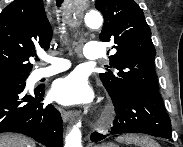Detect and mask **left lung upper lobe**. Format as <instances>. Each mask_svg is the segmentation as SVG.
I'll return each mask as SVG.
<instances>
[{"label": "left lung upper lobe", "mask_w": 183, "mask_h": 147, "mask_svg": "<svg viewBox=\"0 0 183 147\" xmlns=\"http://www.w3.org/2000/svg\"><path fill=\"white\" fill-rule=\"evenodd\" d=\"M95 7L104 17L100 40L115 44V54L109 59L110 67L117 71L107 69L100 74L110 97L116 100L131 88L159 92L154 69L156 51L139 5L134 0H96Z\"/></svg>", "instance_id": "obj_1"}]
</instances>
